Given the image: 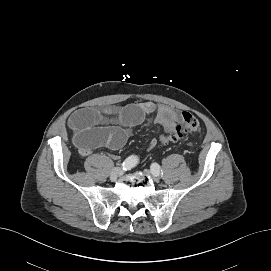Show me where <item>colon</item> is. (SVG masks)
Returning a JSON list of instances; mask_svg holds the SVG:
<instances>
[{
    "label": "colon",
    "mask_w": 271,
    "mask_h": 271,
    "mask_svg": "<svg viewBox=\"0 0 271 271\" xmlns=\"http://www.w3.org/2000/svg\"><path fill=\"white\" fill-rule=\"evenodd\" d=\"M181 122L174 125L173 128L169 129L165 134L160 137V143L165 145L170 142L178 141L185 135L196 132L200 123L198 119L189 112H182Z\"/></svg>",
    "instance_id": "obj_1"
}]
</instances>
